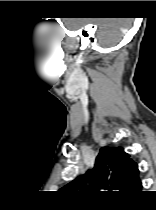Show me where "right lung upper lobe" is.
Wrapping results in <instances>:
<instances>
[{"label": "right lung upper lobe", "instance_id": "cb5924a9", "mask_svg": "<svg viewBox=\"0 0 156 210\" xmlns=\"http://www.w3.org/2000/svg\"><path fill=\"white\" fill-rule=\"evenodd\" d=\"M66 187L81 192L107 191L123 199H131L142 188L137 164L122 147H102L95 166Z\"/></svg>", "mask_w": 156, "mask_h": 210}]
</instances>
